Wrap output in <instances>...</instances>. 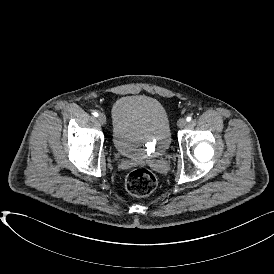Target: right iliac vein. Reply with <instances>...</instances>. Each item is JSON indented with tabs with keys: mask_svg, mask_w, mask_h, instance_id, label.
I'll use <instances>...</instances> for the list:
<instances>
[{
	"mask_svg": "<svg viewBox=\"0 0 274 274\" xmlns=\"http://www.w3.org/2000/svg\"><path fill=\"white\" fill-rule=\"evenodd\" d=\"M98 121L103 125L106 123V116L104 114H100L98 116Z\"/></svg>",
	"mask_w": 274,
	"mask_h": 274,
	"instance_id": "1",
	"label": "right iliac vein"
}]
</instances>
